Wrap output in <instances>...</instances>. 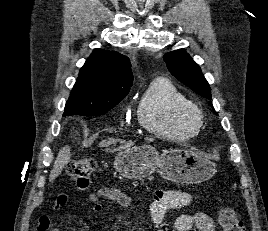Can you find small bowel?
I'll use <instances>...</instances> for the list:
<instances>
[{
	"label": "small bowel",
	"instance_id": "c3829d8e",
	"mask_svg": "<svg viewBox=\"0 0 268 231\" xmlns=\"http://www.w3.org/2000/svg\"><path fill=\"white\" fill-rule=\"evenodd\" d=\"M88 197L92 203V210L95 213H100L103 210V205L100 203L102 198L116 202L123 207H129L132 203L128 195L114 187H102L97 191L91 192ZM198 200H203L201 194L179 191H156L149 207L150 218L156 227L155 231H163L159 228V225L163 222L168 211L187 207ZM54 208L56 209L57 206ZM50 224L51 218L47 215H42L38 219L36 231H48ZM52 231H61V229L56 228ZM80 231H84V229ZM173 231H214V222L210 216L203 212L184 214L175 220Z\"/></svg>",
	"mask_w": 268,
	"mask_h": 231
}]
</instances>
